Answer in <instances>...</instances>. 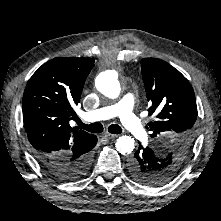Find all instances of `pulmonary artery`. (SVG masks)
Masks as SVG:
<instances>
[{"instance_id": "pulmonary-artery-1", "label": "pulmonary artery", "mask_w": 221, "mask_h": 221, "mask_svg": "<svg viewBox=\"0 0 221 221\" xmlns=\"http://www.w3.org/2000/svg\"><path fill=\"white\" fill-rule=\"evenodd\" d=\"M133 109L134 98L128 93L119 102L85 113L83 118L86 121L95 122L119 116L124 127L134 137L145 139L147 131L140 119L134 114Z\"/></svg>"}]
</instances>
